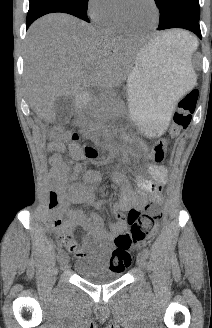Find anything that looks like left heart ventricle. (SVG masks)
I'll return each mask as SVG.
<instances>
[{"instance_id": "1", "label": "left heart ventricle", "mask_w": 212, "mask_h": 328, "mask_svg": "<svg viewBox=\"0 0 212 328\" xmlns=\"http://www.w3.org/2000/svg\"><path fill=\"white\" fill-rule=\"evenodd\" d=\"M120 7L133 27L145 28L155 22L156 13L149 0H120Z\"/></svg>"}]
</instances>
